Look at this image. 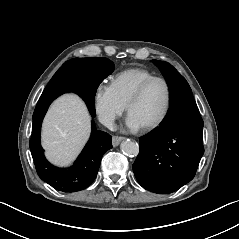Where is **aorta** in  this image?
<instances>
[{
    "label": "aorta",
    "instance_id": "762f6f07",
    "mask_svg": "<svg viewBox=\"0 0 239 239\" xmlns=\"http://www.w3.org/2000/svg\"><path fill=\"white\" fill-rule=\"evenodd\" d=\"M121 150L124 154L128 156H138L139 145L137 142L126 140L121 144Z\"/></svg>",
    "mask_w": 239,
    "mask_h": 239
}]
</instances>
